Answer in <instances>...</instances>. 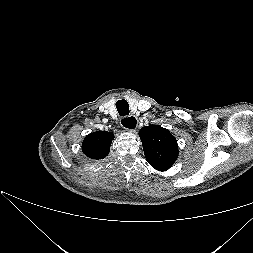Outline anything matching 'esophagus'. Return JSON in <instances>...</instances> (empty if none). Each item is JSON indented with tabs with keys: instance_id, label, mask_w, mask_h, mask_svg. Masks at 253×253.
I'll return each instance as SVG.
<instances>
[{
	"instance_id": "esophagus-1",
	"label": "esophagus",
	"mask_w": 253,
	"mask_h": 253,
	"mask_svg": "<svg viewBox=\"0 0 253 253\" xmlns=\"http://www.w3.org/2000/svg\"><path fill=\"white\" fill-rule=\"evenodd\" d=\"M122 127L128 132H135L137 128V118L133 115L124 116L121 118Z\"/></svg>"
}]
</instances>
